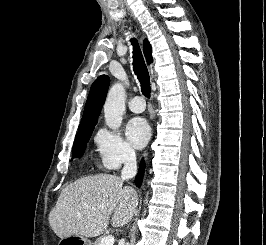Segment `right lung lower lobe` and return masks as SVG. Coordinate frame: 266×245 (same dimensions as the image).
<instances>
[{
  "instance_id": "98d812e1",
  "label": "right lung lower lobe",
  "mask_w": 266,
  "mask_h": 245,
  "mask_svg": "<svg viewBox=\"0 0 266 245\" xmlns=\"http://www.w3.org/2000/svg\"><path fill=\"white\" fill-rule=\"evenodd\" d=\"M144 169H145V162L141 161L140 167H139V172L135 178V184L140 187L143 179V174H144Z\"/></svg>"
}]
</instances>
